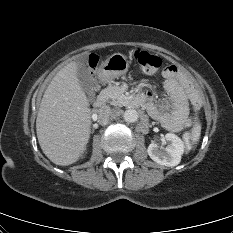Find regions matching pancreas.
Segmentation results:
<instances>
[{
    "label": "pancreas",
    "instance_id": "cf45deb5",
    "mask_svg": "<svg viewBox=\"0 0 233 233\" xmlns=\"http://www.w3.org/2000/svg\"><path fill=\"white\" fill-rule=\"evenodd\" d=\"M102 94L106 96L112 105L115 106H128L129 98L124 95L119 86H109L102 91Z\"/></svg>",
    "mask_w": 233,
    "mask_h": 233
}]
</instances>
